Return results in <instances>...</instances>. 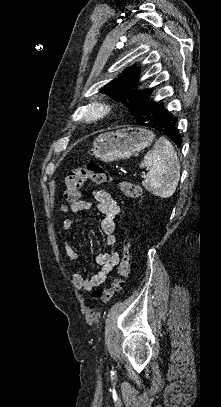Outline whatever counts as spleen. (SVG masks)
<instances>
[{
  "label": "spleen",
  "instance_id": "1",
  "mask_svg": "<svg viewBox=\"0 0 221 407\" xmlns=\"http://www.w3.org/2000/svg\"><path fill=\"white\" fill-rule=\"evenodd\" d=\"M140 167L149 169L142 185L160 198L171 197L180 179V163L173 145L166 137H160L148 151Z\"/></svg>",
  "mask_w": 221,
  "mask_h": 407
}]
</instances>
